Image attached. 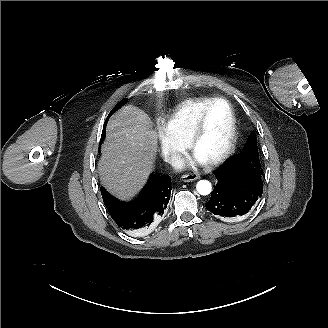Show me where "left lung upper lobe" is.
<instances>
[{
    "mask_svg": "<svg viewBox=\"0 0 328 328\" xmlns=\"http://www.w3.org/2000/svg\"><path fill=\"white\" fill-rule=\"evenodd\" d=\"M232 158L233 159L241 158L243 163H246V164L250 163L251 165H253V167H258L257 169H260L258 172L259 174H261V172L263 173V170H262L260 162H259V154H258V150H257V137L254 132L251 134L250 139H249L248 143L246 144V146L244 147V150L242 151V153L239 155H235ZM256 164H258L259 166Z\"/></svg>",
    "mask_w": 328,
    "mask_h": 328,
    "instance_id": "left-lung-upper-lobe-1",
    "label": "left lung upper lobe"
}]
</instances>
